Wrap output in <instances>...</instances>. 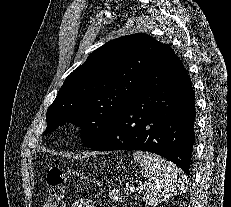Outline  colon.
I'll use <instances>...</instances> for the list:
<instances>
[{
  "label": "colon",
  "mask_w": 231,
  "mask_h": 207,
  "mask_svg": "<svg viewBox=\"0 0 231 207\" xmlns=\"http://www.w3.org/2000/svg\"><path fill=\"white\" fill-rule=\"evenodd\" d=\"M73 173L62 171L58 167L50 168L47 172L49 192L44 207H65V184L73 178Z\"/></svg>",
  "instance_id": "obj_1"
}]
</instances>
